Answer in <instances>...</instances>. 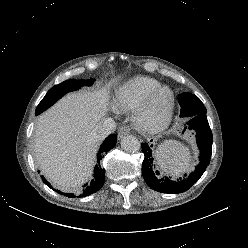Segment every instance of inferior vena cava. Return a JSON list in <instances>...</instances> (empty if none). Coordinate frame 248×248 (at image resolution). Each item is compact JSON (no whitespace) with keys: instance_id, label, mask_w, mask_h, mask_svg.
<instances>
[{"instance_id":"obj_1","label":"inferior vena cava","mask_w":248,"mask_h":248,"mask_svg":"<svg viewBox=\"0 0 248 248\" xmlns=\"http://www.w3.org/2000/svg\"><path fill=\"white\" fill-rule=\"evenodd\" d=\"M116 130V123L113 118H103L101 121L96 125L92 132V137L96 141H101L109 134L113 133Z\"/></svg>"}]
</instances>
